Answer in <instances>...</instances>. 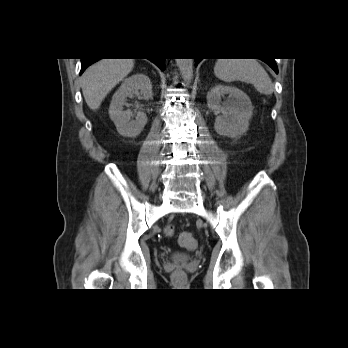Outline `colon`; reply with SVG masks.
<instances>
[{"mask_svg":"<svg viewBox=\"0 0 348 348\" xmlns=\"http://www.w3.org/2000/svg\"><path fill=\"white\" fill-rule=\"evenodd\" d=\"M165 233L168 236H171L174 234V227L172 225H168L165 228ZM179 242L182 247L192 250L196 247V239L191 233H183L179 236ZM175 274L177 276H181L182 272L181 271H176Z\"/></svg>","mask_w":348,"mask_h":348,"instance_id":"obj_1","label":"colon"}]
</instances>
